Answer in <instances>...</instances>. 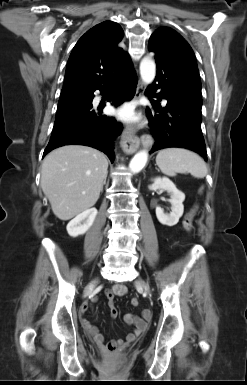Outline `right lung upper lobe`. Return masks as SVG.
Wrapping results in <instances>:
<instances>
[{
  "label": "right lung upper lobe",
  "instance_id": "1",
  "mask_svg": "<svg viewBox=\"0 0 247 385\" xmlns=\"http://www.w3.org/2000/svg\"><path fill=\"white\" fill-rule=\"evenodd\" d=\"M128 65L123 49V30L112 21L87 31L74 46L66 68L63 91H93L107 85Z\"/></svg>",
  "mask_w": 247,
  "mask_h": 385
}]
</instances>
